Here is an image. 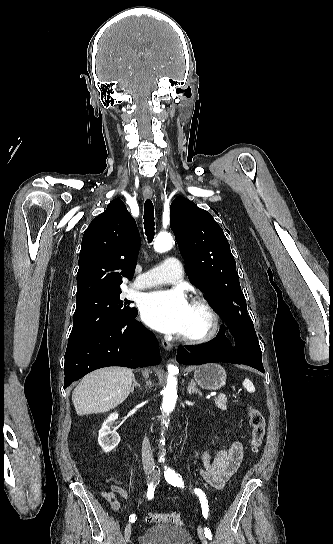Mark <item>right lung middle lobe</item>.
Here are the masks:
<instances>
[{
  "label": "right lung middle lobe",
  "instance_id": "dd1d6c3e",
  "mask_svg": "<svg viewBox=\"0 0 333 544\" xmlns=\"http://www.w3.org/2000/svg\"><path fill=\"white\" fill-rule=\"evenodd\" d=\"M121 290L96 293L76 299L73 328L68 342L79 340L105 327L120 323L134 312L131 301L120 298Z\"/></svg>",
  "mask_w": 333,
  "mask_h": 544
}]
</instances>
